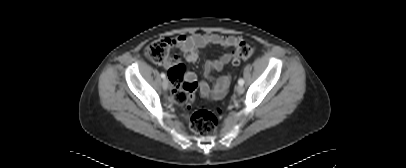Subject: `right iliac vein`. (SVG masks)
Listing matches in <instances>:
<instances>
[{"instance_id": "right-iliac-vein-1", "label": "right iliac vein", "mask_w": 406, "mask_h": 168, "mask_svg": "<svg viewBox=\"0 0 406 168\" xmlns=\"http://www.w3.org/2000/svg\"><path fill=\"white\" fill-rule=\"evenodd\" d=\"M162 87H163L164 90H167V89H168V79H167V78H164V79H163V81H162Z\"/></svg>"}]
</instances>
